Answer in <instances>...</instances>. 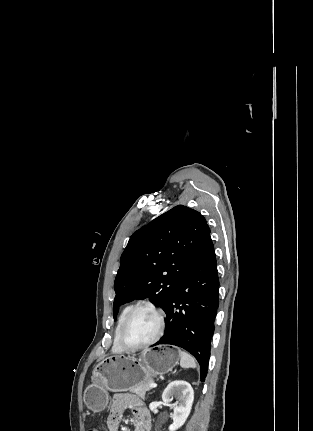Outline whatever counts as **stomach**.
I'll return each mask as SVG.
<instances>
[{
  "mask_svg": "<svg viewBox=\"0 0 313 431\" xmlns=\"http://www.w3.org/2000/svg\"><path fill=\"white\" fill-rule=\"evenodd\" d=\"M179 359L180 352L168 347L147 349L138 358L106 357L93 371L92 384L84 391V402L93 412H101L108 405V391H126L151 381L154 376L171 371Z\"/></svg>",
  "mask_w": 313,
  "mask_h": 431,
  "instance_id": "stomach-1",
  "label": "stomach"
}]
</instances>
